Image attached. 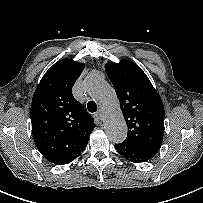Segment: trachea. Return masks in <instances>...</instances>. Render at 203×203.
Listing matches in <instances>:
<instances>
[{"mask_svg":"<svg viewBox=\"0 0 203 203\" xmlns=\"http://www.w3.org/2000/svg\"><path fill=\"white\" fill-rule=\"evenodd\" d=\"M87 108H88V111L91 113H94L97 111V105L94 101H89L87 103Z\"/></svg>","mask_w":203,"mask_h":203,"instance_id":"1","label":"trachea"}]
</instances>
